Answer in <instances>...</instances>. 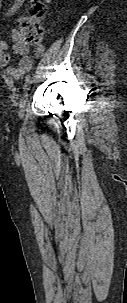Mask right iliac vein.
Wrapping results in <instances>:
<instances>
[{
    "instance_id": "right-iliac-vein-1",
    "label": "right iliac vein",
    "mask_w": 127,
    "mask_h": 303,
    "mask_svg": "<svg viewBox=\"0 0 127 303\" xmlns=\"http://www.w3.org/2000/svg\"><path fill=\"white\" fill-rule=\"evenodd\" d=\"M27 99H28V93H27V91H25L23 96H22V99L20 101V104H19V116L23 115Z\"/></svg>"
}]
</instances>
